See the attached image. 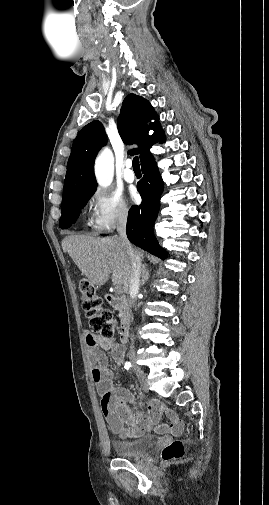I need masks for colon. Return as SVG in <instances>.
Returning <instances> with one entry per match:
<instances>
[{
    "label": "colon",
    "mask_w": 269,
    "mask_h": 505,
    "mask_svg": "<svg viewBox=\"0 0 269 505\" xmlns=\"http://www.w3.org/2000/svg\"><path fill=\"white\" fill-rule=\"evenodd\" d=\"M83 295L82 306L88 319L89 333L95 336L110 337L114 333L115 325L112 312L102 308L101 299L96 293L94 285L83 279L80 282ZM186 452L185 443L173 440L162 450V458L167 462L179 460Z\"/></svg>",
    "instance_id": "1"
}]
</instances>
